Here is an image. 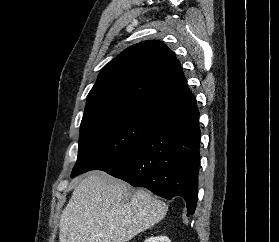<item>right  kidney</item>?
Segmentation results:
<instances>
[{
    "label": "right kidney",
    "mask_w": 279,
    "mask_h": 242,
    "mask_svg": "<svg viewBox=\"0 0 279 242\" xmlns=\"http://www.w3.org/2000/svg\"><path fill=\"white\" fill-rule=\"evenodd\" d=\"M144 242H171L169 238L165 236H158V237H150L146 239Z\"/></svg>",
    "instance_id": "obj_1"
}]
</instances>
